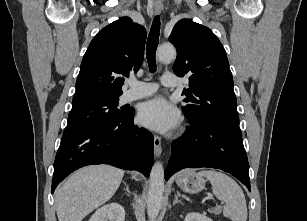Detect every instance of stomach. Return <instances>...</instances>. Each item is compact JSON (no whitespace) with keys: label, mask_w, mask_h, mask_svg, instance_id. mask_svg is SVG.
<instances>
[{"label":"stomach","mask_w":307,"mask_h":221,"mask_svg":"<svg viewBox=\"0 0 307 221\" xmlns=\"http://www.w3.org/2000/svg\"><path fill=\"white\" fill-rule=\"evenodd\" d=\"M176 182L183 191L194 194L205 188L206 180L193 170H184L178 175Z\"/></svg>","instance_id":"stomach-1"}]
</instances>
